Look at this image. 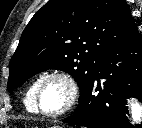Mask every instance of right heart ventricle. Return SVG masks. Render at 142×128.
<instances>
[{"mask_svg": "<svg viewBox=\"0 0 142 128\" xmlns=\"http://www.w3.org/2000/svg\"><path fill=\"white\" fill-rule=\"evenodd\" d=\"M39 77L36 78L27 88L24 95V105L29 112H36L34 103V93L38 83Z\"/></svg>", "mask_w": 142, "mask_h": 128, "instance_id": "1", "label": "right heart ventricle"}]
</instances>
